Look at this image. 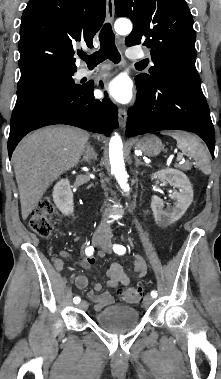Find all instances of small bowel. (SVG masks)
<instances>
[{"mask_svg":"<svg viewBox=\"0 0 221 379\" xmlns=\"http://www.w3.org/2000/svg\"><path fill=\"white\" fill-rule=\"evenodd\" d=\"M63 256L66 257L67 253H63ZM95 263V258L93 256H88L82 263L83 268L90 269L92 265ZM55 266L58 270H61L63 267V263L61 260H55ZM134 272L136 273L138 278H142L147 274V266L144 260L137 256L135 260ZM109 277V281L107 283L109 288L116 289L121 292L125 288H127L131 280L128 275L125 273L123 267L118 263H112L107 272ZM75 284L79 289H85L88 285V279L85 275H78L75 278ZM102 290V285L100 283H96L94 288L88 291V298L94 303V309L96 311H101L105 307L109 306L113 303V296L109 290H105L100 293Z\"/></svg>","mask_w":221,"mask_h":379,"instance_id":"obj_1","label":"small bowel"}]
</instances>
